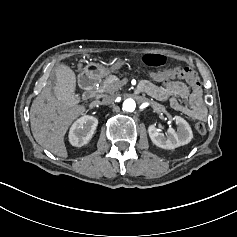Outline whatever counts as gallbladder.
Here are the masks:
<instances>
[{"instance_id": "bac80fb5", "label": "gallbladder", "mask_w": 237, "mask_h": 237, "mask_svg": "<svg viewBox=\"0 0 237 237\" xmlns=\"http://www.w3.org/2000/svg\"><path fill=\"white\" fill-rule=\"evenodd\" d=\"M55 93L57 98L64 104L69 105L75 97L74 76L70 66L63 65L58 71Z\"/></svg>"}]
</instances>
